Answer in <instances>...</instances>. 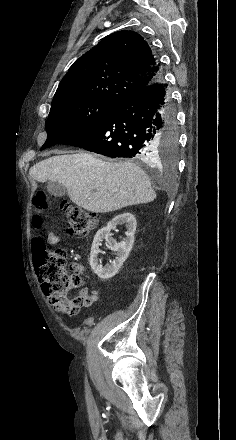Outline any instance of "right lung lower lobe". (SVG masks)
Wrapping results in <instances>:
<instances>
[{
  "mask_svg": "<svg viewBox=\"0 0 236 440\" xmlns=\"http://www.w3.org/2000/svg\"><path fill=\"white\" fill-rule=\"evenodd\" d=\"M166 86L159 77L92 127L61 144L78 146L112 158L150 161L161 133L176 130L175 114L168 102Z\"/></svg>",
  "mask_w": 236,
  "mask_h": 440,
  "instance_id": "1",
  "label": "right lung lower lobe"
}]
</instances>
